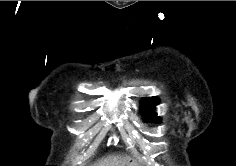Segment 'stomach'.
Instances as JSON below:
<instances>
[{
    "label": "stomach",
    "mask_w": 236,
    "mask_h": 166,
    "mask_svg": "<svg viewBox=\"0 0 236 166\" xmlns=\"http://www.w3.org/2000/svg\"><path fill=\"white\" fill-rule=\"evenodd\" d=\"M118 166H134V165L130 163L129 160H127V161L121 162Z\"/></svg>",
    "instance_id": "0dacf381"
}]
</instances>
